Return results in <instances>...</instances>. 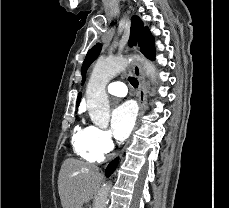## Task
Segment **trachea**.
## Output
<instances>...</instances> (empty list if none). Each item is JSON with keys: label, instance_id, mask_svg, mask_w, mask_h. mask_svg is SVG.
<instances>
[{"label": "trachea", "instance_id": "trachea-1", "mask_svg": "<svg viewBox=\"0 0 229 208\" xmlns=\"http://www.w3.org/2000/svg\"><path fill=\"white\" fill-rule=\"evenodd\" d=\"M129 82L131 83V85L134 87V88H137L138 87V80L137 78H134L132 76L129 77Z\"/></svg>", "mask_w": 229, "mask_h": 208}]
</instances>
